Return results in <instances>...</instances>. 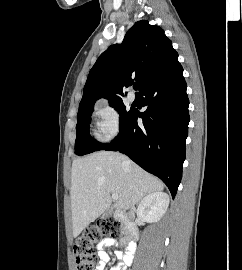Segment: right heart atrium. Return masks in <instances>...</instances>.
Wrapping results in <instances>:
<instances>
[{
	"instance_id": "d8ad5b80",
	"label": "right heart atrium",
	"mask_w": 242,
	"mask_h": 270,
	"mask_svg": "<svg viewBox=\"0 0 242 270\" xmlns=\"http://www.w3.org/2000/svg\"><path fill=\"white\" fill-rule=\"evenodd\" d=\"M98 137L102 141H109L120 130V115L118 110L107 101L100 102L95 109Z\"/></svg>"
}]
</instances>
